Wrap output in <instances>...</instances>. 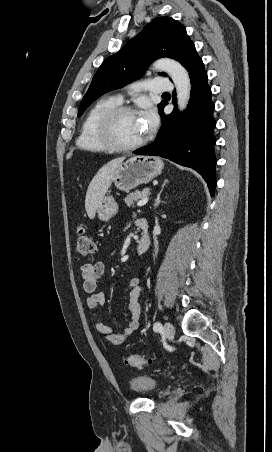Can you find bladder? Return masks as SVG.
<instances>
[{"label":"bladder","instance_id":"31cf9c89","mask_svg":"<svg viewBox=\"0 0 272 452\" xmlns=\"http://www.w3.org/2000/svg\"><path fill=\"white\" fill-rule=\"evenodd\" d=\"M158 387V381L147 374H136L129 380V390L132 394L150 395Z\"/></svg>","mask_w":272,"mask_h":452}]
</instances>
